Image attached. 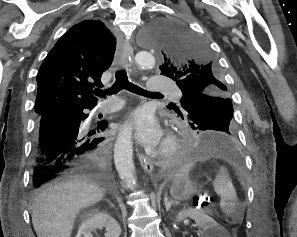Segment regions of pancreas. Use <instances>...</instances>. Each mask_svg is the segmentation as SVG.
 <instances>
[{"mask_svg":"<svg viewBox=\"0 0 297 237\" xmlns=\"http://www.w3.org/2000/svg\"><path fill=\"white\" fill-rule=\"evenodd\" d=\"M205 212L208 213V214H211V215L214 213V211L211 210V209H205Z\"/></svg>","mask_w":297,"mask_h":237,"instance_id":"1","label":"pancreas"}]
</instances>
